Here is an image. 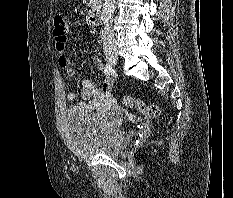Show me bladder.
Segmentation results:
<instances>
[{
  "label": "bladder",
  "mask_w": 233,
  "mask_h": 198,
  "mask_svg": "<svg viewBox=\"0 0 233 198\" xmlns=\"http://www.w3.org/2000/svg\"><path fill=\"white\" fill-rule=\"evenodd\" d=\"M122 116L117 106L96 115L66 112L64 126L69 145L83 154L118 155L131 140L122 129Z\"/></svg>",
  "instance_id": "1"
}]
</instances>
